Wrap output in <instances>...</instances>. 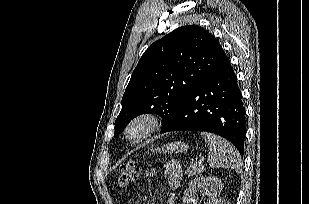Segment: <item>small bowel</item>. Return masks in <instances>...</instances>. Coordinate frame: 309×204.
I'll return each mask as SVG.
<instances>
[{"label":"small bowel","instance_id":"1","mask_svg":"<svg viewBox=\"0 0 309 204\" xmlns=\"http://www.w3.org/2000/svg\"><path fill=\"white\" fill-rule=\"evenodd\" d=\"M165 172L167 174L168 184L171 188H176L182 179V168L177 161H169L165 164ZM157 175V171L154 168H149L146 171L148 178H154ZM169 204H172L171 202Z\"/></svg>","mask_w":309,"mask_h":204}]
</instances>
